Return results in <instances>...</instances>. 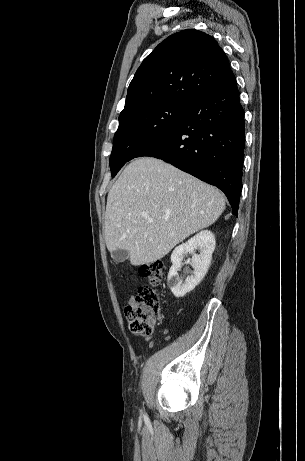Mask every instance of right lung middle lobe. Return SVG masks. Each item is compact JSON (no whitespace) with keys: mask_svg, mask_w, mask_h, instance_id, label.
I'll list each match as a JSON object with an SVG mask.
<instances>
[{"mask_svg":"<svg viewBox=\"0 0 305 461\" xmlns=\"http://www.w3.org/2000/svg\"><path fill=\"white\" fill-rule=\"evenodd\" d=\"M189 104L164 102L119 118L110 157L114 177L121 167L172 131L185 117Z\"/></svg>","mask_w":305,"mask_h":461,"instance_id":"obj_1","label":"right lung middle lobe"}]
</instances>
